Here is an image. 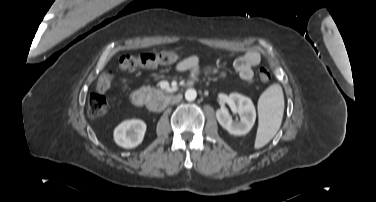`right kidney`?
Segmentation results:
<instances>
[{"mask_svg":"<svg viewBox=\"0 0 376 202\" xmlns=\"http://www.w3.org/2000/svg\"><path fill=\"white\" fill-rule=\"evenodd\" d=\"M146 124L139 119L126 120L114 129V140L117 145L131 149L138 146L144 138Z\"/></svg>","mask_w":376,"mask_h":202,"instance_id":"ca27d5eb","label":"right kidney"}]
</instances>
